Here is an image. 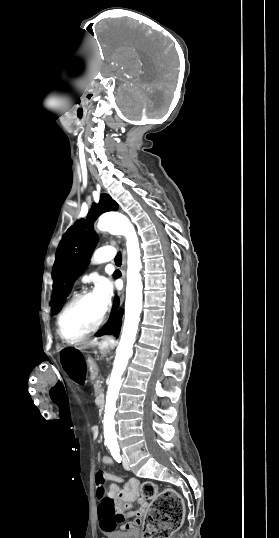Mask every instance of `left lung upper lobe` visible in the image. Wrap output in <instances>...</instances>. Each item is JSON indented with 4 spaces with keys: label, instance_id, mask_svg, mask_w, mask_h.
<instances>
[{
    "label": "left lung upper lobe",
    "instance_id": "left-lung-upper-lobe-1",
    "mask_svg": "<svg viewBox=\"0 0 279 538\" xmlns=\"http://www.w3.org/2000/svg\"><path fill=\"white\" fill-rule=\"evenodd\" d=\"M118 204L107 194H101L98 204H93L87 220L81 219L71 226L60 242L53 267L52 314H56L71 291L91 257L98 241L93 229L94 221L104 212L116 211Z\"/></svg>",
    "mask_w": 279,
    "mask_h": 538
}]
</instances>
